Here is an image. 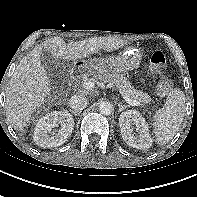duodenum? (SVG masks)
<instances>
[{
	"instance_id": "1",
	"label": "duodenum",
	"mask_w": 197,
	"mask_h": 197,
	"mask_svg": "<svg viewBox=\"0 0 197 197\" xmlns=\"http://www.w3.org/2000/svg\"><path fill=\"white\" fill-rule=\"evenodd\" d=\"M81 71H82L81 67H76V68L72 71V73H71V78H72L73 81H75V80L78 79V77H79Z\"/></svg>"
}]
</instances>
